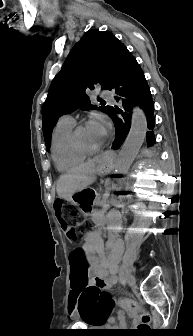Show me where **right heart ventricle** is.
Wrapping results in <instances>:
<instances>
[{"instance_id": "right-heart-ventricle-1", "label": "right heart ventricle", "mask_w": 193, "mask_h": 336, "mask_svg": "<svg viewBox=\"0 0 193 336\" xmlns=\"http://www.w3.org/2000/svg\"><path fill=\"white\" fill-rule=\"evenodd\" d=\"M74 123H58L52 137V158L59 171L70 170L81 164L86 154L75 148L72 142Z\"/></svg>"}]
</instances>
